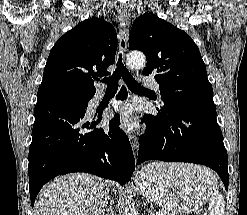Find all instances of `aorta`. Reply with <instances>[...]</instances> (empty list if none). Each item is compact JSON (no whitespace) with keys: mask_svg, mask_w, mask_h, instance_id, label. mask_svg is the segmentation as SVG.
<instances>
[{"mask_svg":"<svg viewBox=\"0 0 247 215\" xmlns=\"http://www.w3.org/2000/svg\"><path fill=\"white\" fill-rule=\"evenodd\" d=\"M146 61V57L141 52H131L127 56V63L131 68L139 69L141 68ZM123 215H136V211L132 205V207L127 208Z\"/></svg>","mask_w":247,"mask_h":215,"instance_id":"obj_1","label":"aorta"}]
</instances>
